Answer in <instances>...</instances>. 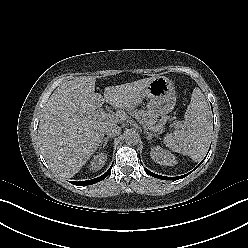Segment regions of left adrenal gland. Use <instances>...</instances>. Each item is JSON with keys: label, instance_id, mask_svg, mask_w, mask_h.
<instances>
[{"label": "left adrenal gland", "instance_id": "a2214340", "mask_svg": "<svg viewBox=\"0 0 248 248\" xmlns=\"http://www.w3.org/2000/svg\"><path fill=\"white\" fill-rule=\"evenodd\" d=\"M144 133L146 134L147 140H151L152 137L156 136V134L149 133L148 131H144Z\"/></svg>", "mask_w": 248, "mask_h": 248}]
</instances>
